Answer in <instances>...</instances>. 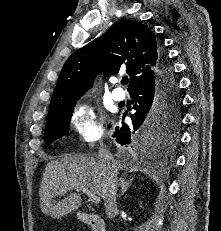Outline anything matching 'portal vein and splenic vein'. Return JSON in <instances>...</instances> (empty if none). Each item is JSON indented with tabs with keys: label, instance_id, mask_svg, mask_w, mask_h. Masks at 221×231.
Returning <instances> with one entry per match:
<instances>
[{
	"label": "portal vein and splenic vein",
	"instance_id": "portal-vein-and-splenic-vein-1",
	"mask_svg": "<svg viewBox=\"0 0 221 231\" xmlns=\"http://www.w3.org/2000/svg\"><path fill=\"white\" fill-rule=\"evenodd\" d=\"M73 188L75 187L73 186ZM79 190L86 194L93 203L98 204L100 202V197L92 193L88 188L80 187ZM62 191L63 190H61V192Z\"/></svg>",
	"mask_w": 221,
	"mask_h": 231
}]
</instances>
